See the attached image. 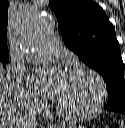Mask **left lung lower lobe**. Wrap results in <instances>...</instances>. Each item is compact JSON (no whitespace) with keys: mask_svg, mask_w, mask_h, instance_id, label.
<instances>
[{"mask_svg":"<svg viewBox=\"0 0 125 128\" xmlns=\"http://www.w3.org/2000/svg\"><path fill=\"white\" fill-rule=\"evenodd\" d=\"M105 110L118 112V113H122L125 115V107H110V108H105Z\"/></svg>","mask_w":125,"mask_h":128,"instance_id":"left-lung-lower-lobe-1","label":"left lung lower lobe"}]
</instances>
